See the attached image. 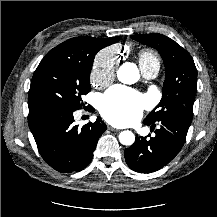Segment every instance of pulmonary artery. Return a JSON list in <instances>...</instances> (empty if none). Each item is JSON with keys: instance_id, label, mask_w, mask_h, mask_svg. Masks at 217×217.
I'll return each instance as SVG.
<instances>
[{"instance_id": "pulmonary-artery-1", "label": "pulmonary artery", "mask_w": 217, "mask_h": 217, "mask_svg": "<svg viewBox=\"0 0 217 217\" xmlns=\"http://www.w3.org/2000/svg\"><path fill=\"white\" fill-rule=\"evenodd\" d=\"M159 69H160V65L153 64L148 67L142 68L141 70H142L143 75L146 78L152 79L158 75Z\"/></svg>"}]
</instances>
